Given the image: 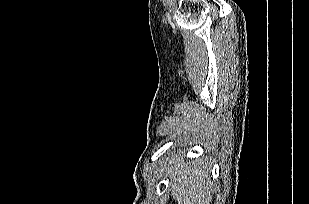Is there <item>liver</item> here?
Instances as JSON below:
<instances>
[{
    "instance_id": "obj_1",
    "label": "liver",
    "mask_w": 309,
    "mask_h": 204,
    "mask_svg": "<svg viewBox=\"0 0 309 204\" xmlns=\"http://www.w3.org/2000/svg\"><path fill=\"white\" fill-rule=\"evenodd\" d=\"M167 170L171 196L177 204H210L214 184L206 160L185 162L179 152L168 162Z\"/></svg>"
}]
</instances>
